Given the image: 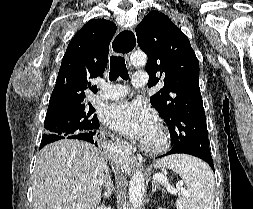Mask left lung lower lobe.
I'll list each match as a JSON object with an SVG mask.
<instances>
[{
  "label": "left lung lower lobe",
  "instance_id": "0a47b994",
  "mask_svg": "<svg viewBox=\"0 0 253 209\" xmlns=\"http://www.w3.org/2000/svg\"><path fill=\"white\" fill-rule=\"evenodd\" d=\"M176 153H185V154H190V155L196 156V157L204 160L205 162H207L210 165V167L212 168V170L214 171V164H213L211 155H203V154H199V153H195V152H176L174 150H170L168 153L164 154L163 156L176 154Z\"/></svg>",
  "mask_w": 253,
  "mask_h": 209
}]
</instances>
